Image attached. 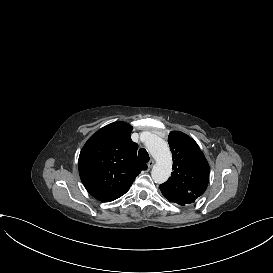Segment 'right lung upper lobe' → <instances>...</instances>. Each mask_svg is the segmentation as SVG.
I'll return each mask as SVG.
<instances>
[{"mask_svg":"<svg viewBox=\"0 0 273 273\" xmlns=\"http://www.w3.org/2000/svg\"><path fill=\"white\" fill-rule=\"evenodd\" d=\"M132 126L111 123L93 134L82 148L79 174L87 191L102 202L124 195L136 176L147 169L137 158V143L131 140Z\"/></svg>","mask_w":273,"mask_h":273,"instance_id":"cb5924a9","label":"right lung upper lobe"}]
</instances>
